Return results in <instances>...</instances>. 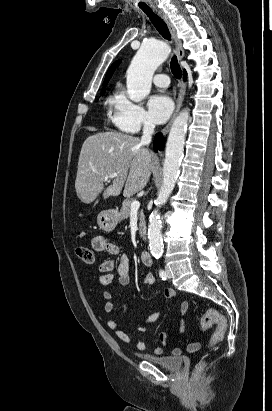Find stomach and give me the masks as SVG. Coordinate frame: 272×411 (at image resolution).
<instances>
[{
    "instance_id": "0dacf381",
    "label": "stomach",
    "mask_w": 272,
    "mask_h": 411,
    "mask_svg": "<svg viewBox=\"0 0 272 411\" xmlns=\"http://www.w3.org/2000/svg\"><path fill=\"white\" fill-rule=\"evenodd\" d=\"M119 222V216L114 210H104L97 216V223L100 229L111 232Z\"/></svg>"
}]
</instances>
